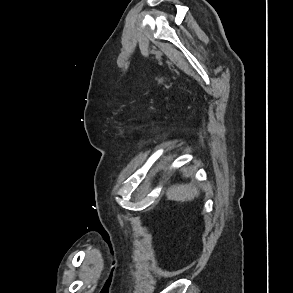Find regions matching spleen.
I'll return each mask as SVG.
<instances>
[{"label": "spleen", "instance_id": "1", "mask_svg": "<svg viewBox=\"0 0 293 293\" xmlns=\"http://www.w3.org/2000/svg\"><path fill=\"white\" fill-rule=\"evenodd\" d=\"M198 195V189L192 184L173 185L166 192L167 199L175 201L193 200Z\"/></svg>", "mask_w": 293, "mask_h": 293}]
</instances>
